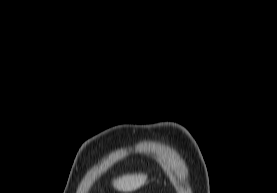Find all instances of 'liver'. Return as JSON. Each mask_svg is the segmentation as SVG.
<instances>
[{"label":"liver","instance_id":"1","mask_svg":"<svg viewBox=\"0 0 277 193\" xmlns=\"http://www.w3.org/2000/svg\"><path fill=\"white\" fill-rule=\"evenodd\" d=\"M147 181L145 174H126L113 181V187L118 191L131 192L143 186Z\"/></svg>","mask_w":277,"mask_h":193}]
</instances>
